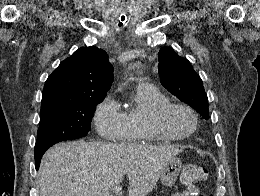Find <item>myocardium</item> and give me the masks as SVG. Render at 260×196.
Segmentation results:
<instances>
[{
	"label": "myocardium",
	"instance_id": "obj_1",
	"mask_svg": "<svg viewBox=\"0 0 260 196\" xmlns=\"http://www.w3.org/2000/svg\"><path fill=\"white\" fill-rule=\"evenodd\" d=\"M172 109H181L192 117L194 124H193V127L188 132H186L184 134H175L164 126V123H163L164 117ZM196 119H197V115L193 108H191L190 106H188L184 103L169 101L163 105H160L159 107H157L155 109V114L148 121V125L153 131L159 133L165 139L184 141V140L189 139L195 133Z\"/></svg>",
	"mask_w": 260,
	"mask_h": 196
}]
</instances>
